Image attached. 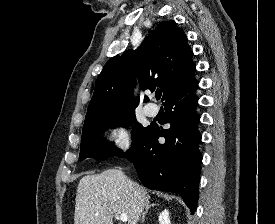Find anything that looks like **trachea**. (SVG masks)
Masks as SVG:
<instances>
[{"label": "trachea", "instance_id": "trachea-1", "mask_svg": "<svg viewBox=\"0 0 275 224\" xmlns=\"http://www.w3.org/2000/svg\"><path fill=\"white\" fill-rule=\"evenodd\" d=\"M162 92H157L156 93V99L159 100L161 98Z\"/></svg>", "mask_w": 275, "mask_h": 224}]
</instances>
